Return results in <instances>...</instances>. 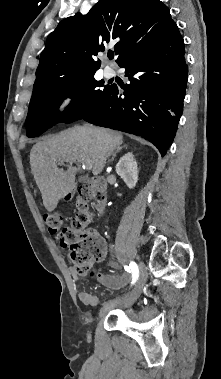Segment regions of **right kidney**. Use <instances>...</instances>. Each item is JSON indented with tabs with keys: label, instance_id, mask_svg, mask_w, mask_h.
<instances>
[{
	"label": "right kidney",
	"instance_id": "right-kidney-1",
	"mask_svg": "<svg viewBox=\"0 0 221 379\" xmlns=\"http://www.w3.org/2000/svg\"><path fill=\"white\" fill-rule=\"evenodd\" d=\"M116 173L124 180L130 189L136 186L138 181V168L132 152H128L120 158L116 165Z\"/></svg>",
	"mask_w": 221,
	"mask_h": 379
}]
</instances>
